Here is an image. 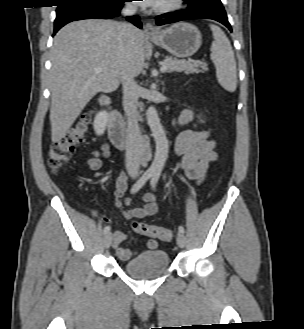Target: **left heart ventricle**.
I'll list each match as a JSON object with an SVG mask.
<instances>
[{
	"label": "left heart ventricle",
	"instance_id": "1",
	"mask_svg": "<svg viewBox=\"0 0 304 329\" xmlns=\"http://www.w3.org/2000/svg\"><path fill=\"white\" fill-rule=\"evenodd\" d=\"M166 1H168V0H160L159 3L157 4V6L164 4Z\"/></svg>",
	"mask_w": 304,
	"mask_h": 329
}]
</instances>
